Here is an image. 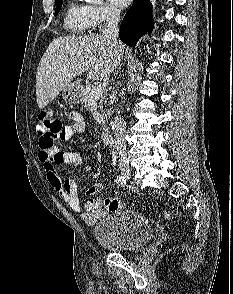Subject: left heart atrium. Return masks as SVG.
<instances>
[{"label":"left heart atrium","instance_id":"left-heart-atrium-1","mask_svg":"<svg viewBox=\"0 0 233 294\" xmlns=\"http://www.w3.org/2000/svg\"><path fill=\"white\" fill-rule=\"evenodd\" d=\"M116 6L124 8L128 6L132 0H111Z\"/></svg>","mask_w":233,"mask_h":294}]
</instances>
